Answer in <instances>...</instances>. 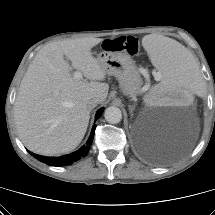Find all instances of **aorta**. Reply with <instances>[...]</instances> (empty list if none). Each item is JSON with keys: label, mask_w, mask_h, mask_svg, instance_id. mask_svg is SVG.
Wrapping results in <instances>:
<instances>
[{"label": "aorta", "mask_w": 215, "mask_h": 215, "mask_svg": "<svg viewBox=\"0 0 215 215\" xmlns=\"http://www.w3.org/2000/svg\"><path fill=\"white\" fill-rule=\"evenodd\" d=\"M106 121L110 124H117L122 119V112L118 107L110 106L104 112Z\"/></svg>", "instance_id": "762f6f07"}]
</instances>
